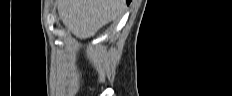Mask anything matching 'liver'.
<instances>
[{
  "label": "liver",
  "mask_w": 232,
  "mask_h": 96,
  "mask_svg": "<svg viewBox=\"0 0 232 96\" xmlns=\"http://www.w3.org/2000/svg\"><path fill=\"white\" fill-rule=\"evenodd\" d=\"M125 0H59L58 12L63 24L74 36L87 39L100 28L119 18Z\"/></svg>",
  "instance_id": "1"
}]
</instances>
